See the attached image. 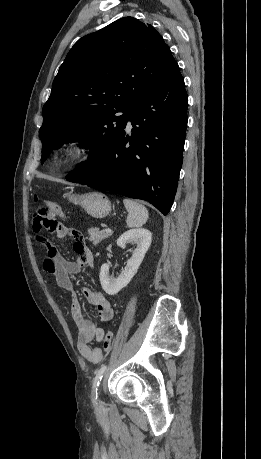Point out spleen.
Masks as SVG:
<instances>
[{
    "label": "spleen",
    "instance_id": "spleen-1",
    "mask_svg": "<svg viewBox=\"0 0 261 459\" xmlns=\"http://www.w3.org/2000/svg\"><path fill=\"white\" fill-rule=\"evenodd\" d=\"M123 203L128 212L126 223L129 228H139L147 222L149 214L145 206L130 199H124Z\"/></svg>",
    "mask_w": 261,
    "mask_h": 459
}]
</instances>
